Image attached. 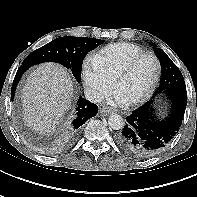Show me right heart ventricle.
<instances>
[{"label": "right heart ventricle", "instance_id": "obj_1", "mask_svg": "<svg viewBox=\"0 0 197 197\" xmlns=\"http://www.w3.org/2000/svg\"><path fill=\"white\" fill-rule=\"evenodd\" d=\"M146 53L138 45L131 43L112 44L95 53L91 59L93 64L100 68L109 77L115 78L116 74L133 58Z\"/></svg>", "mask_w": 197, "mask_h": 197}]
</instances>
